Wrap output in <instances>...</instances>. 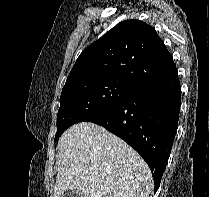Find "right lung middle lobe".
I'll list each match as a JSON object with an SVG mask.
<instances>
[{
    "label": "right lung middle lobe",
    "instance_id": "dd1d6c3e",
    "mask_svg": "<svg viewBox=\"0 0 209 197\" xmlns=\"http://www.w3.org/2000/svg\"><path fill=\"white\" fill-rule=\"evenodd\" d=\"M136 88L116 80L82 81L62 89L57 115L56 142L71 125L108 108L128 96Z\"/></svg>",
    "mask_w": 209,
    "mask_h": 197
}]
</instances>
